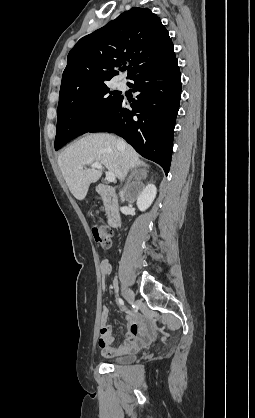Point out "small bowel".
<instances>
[{
  "instance_id": "obj_1",
  "label": "small bowel",
  "mask_w": 255,
  "mask_h": 418,
  "mask_svg": "<svg viewBox=\"0 0 255 418\" xmlns=\"http://www.w3.org/2000/svg\"><path fill=\"white\" fill-rule=\"evenodd\" d=\"M100 273L105 279L112 271V264L108 259H103L99 265ZM122 307V305H120ZM108 311L103 308L101 315V327L98 338V345L105 357H113L139 350L153 335V329L144 324L142 317L136 312H129L126 315L127 333L125 341L115 346V337L112 328L107 324Z\"/></svg>"
}]
</instances>
